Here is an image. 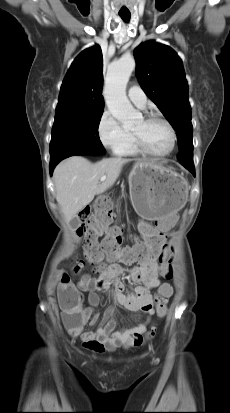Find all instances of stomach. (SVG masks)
<instances>
[{"mask_svg": "<svg viewBox=\"0 0 230 413\" xmlns=\"http://www.w3.org/2000/svg\"><path fill=\"white\" fill-rule=\"evenodd\" d=\"M133 208L142 218H165L176 214L188 199V182L160 163L137 162L129 175Z\"/></svg>", "mask_w": 230, "mask_h": 413, "instance_id": "obj_1", "label": "stomach"}]
</instances>
